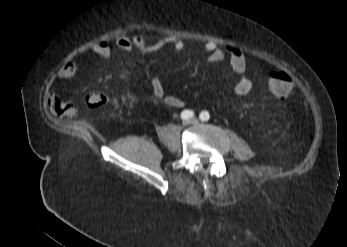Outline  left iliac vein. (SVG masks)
<instances>
[{
  "label": "left iliac vein",
  "mask_w": 347,
  "mask_h": 247,
  "mask_svg": "<svg viewBox=\"0 0 347 247\" xmlns=\"http://www.w3.org/2000/svg\"><path fill=\"white\" fill-rule=\"evenodd\" d=\"M191 123L194 124V125H196V124H198V120H197V119H192V120H191Z\"/></svg>",
  "instance_id": "obj_1"
}]
</instances>
